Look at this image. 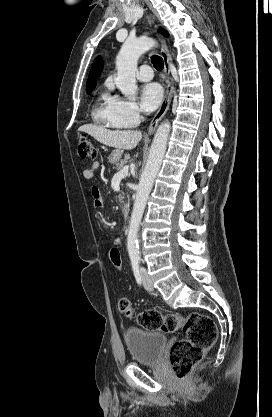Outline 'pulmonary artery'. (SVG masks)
<instances>
[{"label": "pulmonary artery", "instance_id": "pulmonary-artery-1", "mask_svg": "<svg viewBox=\"0 0 272 417\" xmlns=\"http://www.w3.org/2000/svg\"><path fill=\"white\" fill-rule=\"evenodd\" d=\"M137 78L140 81L151 80L153 78L152 68L149 65H142L137 72Z\"/></svg>", "mask_w": 272, "mask_h": 417}]
</instances>
